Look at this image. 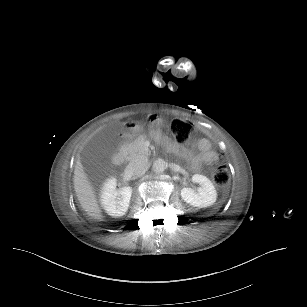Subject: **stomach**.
<instances>
[{
  "label": "stomach",
  "instance_id": "stomach-1",
  "mask_svg": "<svg viewBox=\"0 0 307 307\" xmlns=\"http://www.w3.org/2000/svg\"><path fill=\"white\" fill-rule=\"evenodd\" d=\"M157 124H158L157 119H155V120H150V121L148 122V126H149V127H154V126H156ZM132 129H133L135 132H140V131H142V130L144 129V124H143L142 122H134V123H133Z\"/></svg>",
  "mask_w": 307,
  "mask_h": 307
}]
</instances>
